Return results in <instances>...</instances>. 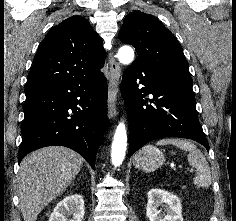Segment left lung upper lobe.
<instances>
[{"mask_svg":"<svg viewBox=\"0 0 236 221\" xmlns=\"http://www.w3.org/2000/svg\"><path fill=\"white\" fill-rule=\"evenodd\" d=\"M119 38L135 47L138 58L134 63L193 82L180 43L156 17L131 12L124 19Z\"/></svg>","mask_w":236,"mask_h":221,"instance_id":"5c2ea615","label":"left lung upper lobe"}]
</instances>
